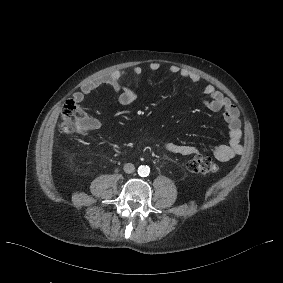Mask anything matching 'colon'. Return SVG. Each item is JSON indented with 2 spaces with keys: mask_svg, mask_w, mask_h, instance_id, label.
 Returning <instances> with one entry per match:
<instances>
[{
  "mask_svg": "<svg viewBox=\"0 0 283 283\" xmlns=\"http://www.w3.org/2000/svg\"><path fill=\"white\" fill-rule=\"evenodd\" d=\"M89 124V117L74 100H67L64 103L60 123L63 132L83 134L88 129ZM187 168L192 173L211 174L218 170V165L214 159L208 156L195 155L188 161Z\"/></svg>",
  "mask_w": 283,
  "mask_h": 283,
  "instance_id": "obj_1",
  "label": "colon"
}]
</instances>
